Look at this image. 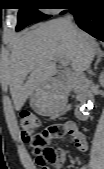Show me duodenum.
<instances>
[{"instance_id":"1","label":"duodenum","mask_w":104,"mask_h":169,"mask_svg":"<svg viewBox=\"0 0 104 169\" xmlns=\"http://www.w3.org/2000/svg\"><path fill=\"white\" fill-rule=\"evenodd\" d=\"M64 76L57 73L53 76V79H61ZM78 99L79 106L76 109V117L80 121H86L90 115V109L92 106L93 96L89 89V84L86 81H80L76 84L74 89Z\"/></svg>"}]
</instances>
